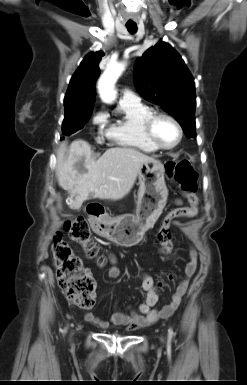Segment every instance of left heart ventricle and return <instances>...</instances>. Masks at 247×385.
I'll return each mask as SVG.
<instances>
[{
    "label": "left heart ventricle",
    "instance_id": "b2bd125f",
    "mask_svg": "<svg viewBox=\"0 0 247 385\" xmlns=\"http://www.w3.org/2000/svg\"><path fill=\"white\" fill-rule=\"evenodd\" d=\"M154 133L157 140L164 146H172L179 137L176 126L165 118H160L155 122Z\"/></svg>",
    "mask_w": 247,
    "mask_h": 385
}]
</instances>
